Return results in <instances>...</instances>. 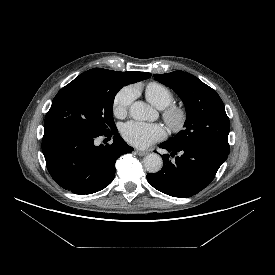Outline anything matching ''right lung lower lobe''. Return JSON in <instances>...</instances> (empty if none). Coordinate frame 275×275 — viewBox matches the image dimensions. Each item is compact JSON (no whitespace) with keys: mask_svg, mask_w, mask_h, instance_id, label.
I'll return each instance as SVG.
<instances>
[{"mask_svg":"<svg viewBox=\"0 0 275 275\" xmlns=\"http://www.w3.org/2000/svg\"><path fill=\"white\" fill-rule=\"evenodd\" d=\"M114 129L113 143L95 146L96 135L73 130L45 131L42 140L47 169L62 188L75 194H92L114 179L115 161L133 150Z\"/></svg>","mask_w":275,"mask_h":275,"instance_id":"right-lung-lower-lobe-1","label":"right lung lower lobe"}]
</instances>
